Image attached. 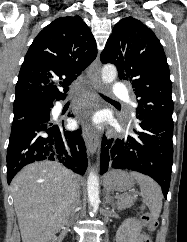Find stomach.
Returning <instances> with one entry per match:
<instances>
[{"label": "stomach", "instance_id": "0dacf381", "mask_svg": "<svg viewBox=\"0 0 187 242\" xmlns=\"http://www.w3.org/2000/svg\"><path fill=\"white\" fill-rule=\"evenodd\" d=\"M103 184L107 190L125 192L134 186V179L125 171L113 170L105 175Z\"/></svg>", "mask_w": 187, "mask_h": 242}]
</instances>
